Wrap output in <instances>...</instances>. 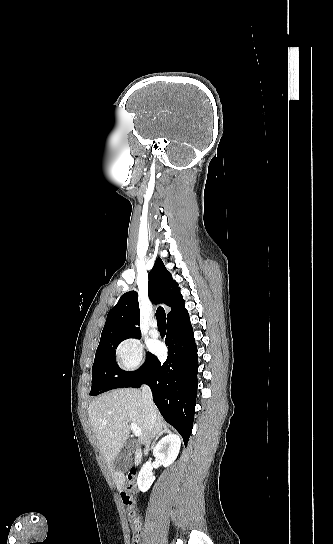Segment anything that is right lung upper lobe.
<instances>
[{
  "instance_id": "obj_1",
  "label": "right lung upper lobe",
  "mask_w": 333,
  "mask_h": 544,
  "mask_svg": "<svg viewBox=\"0 0 333 544\" xmlns=\"http://www.w3.org/2000/svg\"><path fill=\"white\" fill-rule=\"evenodd\" d=\"M148 295L152 302H163L171 307L167 320L188 313L178 283L172 279V275L160 258L156 259L149 273ZM137 298L136 291L126 292L120 297L107 315L101 339L116 336L140 337L141 332L138 327L140 310Z\"/></svg>"
}]
</instances>
